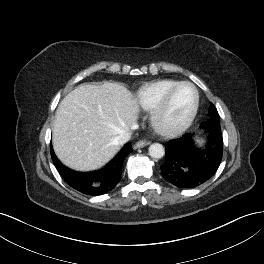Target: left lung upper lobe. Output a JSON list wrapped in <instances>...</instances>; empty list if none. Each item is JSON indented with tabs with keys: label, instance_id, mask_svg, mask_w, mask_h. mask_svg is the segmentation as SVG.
Listing matches in <instances>:
<instances>
[{
	"label": "left lung upper lobe",
	"instance_id": "5c2ea615",
	"mask_svg": "<svg viewBox=\"0 0 264 264\" xmlns=\"http://www.w3.org/2000/svg\"><path fill=\"white\" fill-rule=\"evenodd\" d=\"M208 113L210 114L211 117L206 122H204L203 125L206 126L207 128H212V129L219 128V129H221L217 109L215 108V106L212 103L210 105Z\"/></svg>",
	"mask_w": 264,
	"mask_h": 264
}]
</instances>
